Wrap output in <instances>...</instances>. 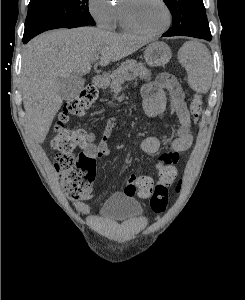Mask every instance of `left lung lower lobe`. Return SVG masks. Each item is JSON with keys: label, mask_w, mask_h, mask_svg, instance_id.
Wrapping results in <instances>:
<instances>
[{"label": "left lung lower lobe", "mask_w": 245, "mask_h": 300, "mask_svg": "<svg viewBox=\"0 0 245 300\" xmlns=\"http://www.w3.org/2000/svg\"><path fill=\"white\" fill-rule=\"evenodd\" d=\"M163 36H167L163 34ZM186 36H191V37H196V38H201V39H206V40H211V33H196V34H186Z\"/></svg>", "instance_id": "0a47b994"}]
</instances>
